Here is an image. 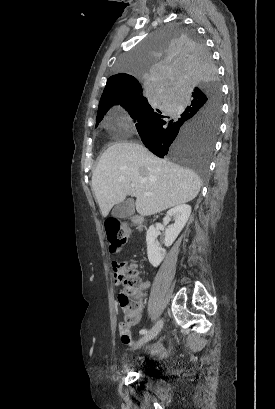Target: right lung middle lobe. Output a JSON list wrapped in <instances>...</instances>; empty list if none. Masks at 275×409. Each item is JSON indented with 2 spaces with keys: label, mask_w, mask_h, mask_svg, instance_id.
<instances>
[{
  "label": "right lung middle lobe",
  "mask_w": 275,
  "mask_h": 409,
  "mask_svg": "<svg viewBox=\"0 0 275 409\" xmlns=\"http://www.w3.org/2000/svg\"><path fill=\"white\" fill-rule=\"evenodd\" d=\"M139 49L126 50L112 72L135 73L147 91L166 93L115 104L137 121L138 134L152 153L187 165L206 182L221 115L220 82L206 41L193 24H165ZM110 107L97 113L96 127Z\"/></svg>",
  "instance_id": "dd1d6c3e"
}]
</instances>
